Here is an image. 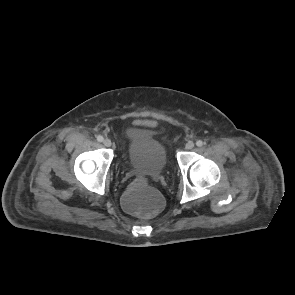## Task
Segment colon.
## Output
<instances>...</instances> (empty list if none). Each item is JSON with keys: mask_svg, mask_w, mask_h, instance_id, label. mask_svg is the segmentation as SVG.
I'll return each mask as SVG.
<instances>
[{"mask_svg": "<svg viewBox=\"0 0 295 295\" xmlns=\"http://www.w3.org/2000/svg\"><path fill=\"white\" fill-rule=\"evenodd\" d=\"M121 204L136 217H151L162 208L161 194L145 176H136L121 195Z\"/></svg>", "mask_w": 295, "mask_h": 295, "instance_id": "colon-1", "label": "colon"}]
</instances>
